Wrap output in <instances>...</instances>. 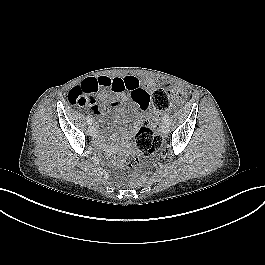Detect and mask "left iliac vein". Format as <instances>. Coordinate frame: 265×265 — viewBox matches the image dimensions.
<instances>
[{
	"instance_id": "1",
	"label": "left iliac vein",
	"mask_w": 265,
	"mask_h": 265,
	"mask_svg": "<svg viewBox=\"0 0 265 265\" xmlns=\"http://www.w3.org/2000/svg\"><path fill=\"white\" fill-rule=\"evenodd\" d=\"M161 129H162V132H163V133L167 134V133L169 132V125H168V123H167V122H164V123L162 124Z\"/></svg>"
}]
</instances>
